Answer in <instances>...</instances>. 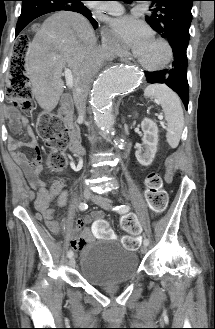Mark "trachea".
I'll return each mask as SVG.
<instances>
[{"label": "trachea", "instance_id": "trachea-1", "mask_svg": "<svg viewBox=\"0 0 215 329\" xmlns=\"http://www.w3.org/2000/svg\"><path fill=\"white\" fill-rule=\"evenodd\" d=\"M120 1H124L125 3H131L134 0H120Z\"/></svg>", "mask_w": 215, "mask_h": 329}]
</instances>
